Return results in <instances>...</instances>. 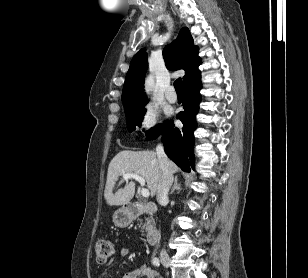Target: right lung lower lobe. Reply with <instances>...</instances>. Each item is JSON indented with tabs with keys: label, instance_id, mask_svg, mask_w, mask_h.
<instances>
[{
	"label": "right lung lower lobe",
	"instance_id": "1",
	"mask_svg": "<svg viewBox=\"0 0 308 278\" xmlns=\"http://www.w3.org/2000/svg\"><path fill=\"white\" fill-rule=\"evenodd\" d=\"M201 78L184 88V111L177 115L183 123V128L174 127L173 121H167L162 134V142L165 153L183 171L190 172V166L194 169V136L196 129L195 117L199 111L201 95Z\"/></svg>",
	"mask_w": 308,
	"mask_h": 278
}]
</instances>
